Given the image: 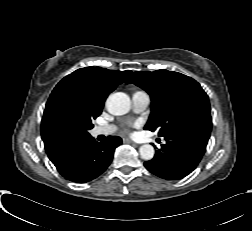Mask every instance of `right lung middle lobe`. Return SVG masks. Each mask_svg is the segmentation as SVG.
<instances>
[{"mask_svg": "<svg viewBox=\"0 0 252 231\" xmlns=\"http://www.w3.org/2000/svg\"><path fill=\"white\" fill-rule=\"evenodd\" d=\"M101 112L86 106L68 93L51 94L42 118V139L53 145H65L74 139L88 136V131L93 128L92 120Z\"/></svg>", "mask_w": 252, "mask_h": 231, "instance_id": "dd1d6c3e", "label": "right lung middle lobe"}]
</instances>
